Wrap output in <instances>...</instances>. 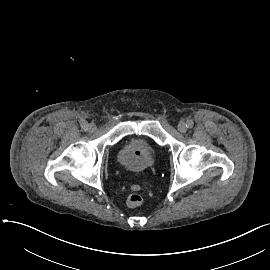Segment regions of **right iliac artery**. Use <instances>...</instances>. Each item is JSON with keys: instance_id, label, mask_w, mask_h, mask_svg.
Masks as SVG:
<instances>
[{"instance_id": "right-iliac-artery-1", "label": "right iliac artery", "mask_w": 270, "mask_h": 270, "mask_svg": "<svg viewBox=\"0 0 270 270\" xmlns=\"http://www.w3.org/2000/svg\"><path fill=\"white\" fill-rule=\"evenodd\" d=\"M80 125H81V127H82L83 129H85V128H87L88 123H87V121L82 120V121L80 122Z\"/></svg>"}]
</instances>
